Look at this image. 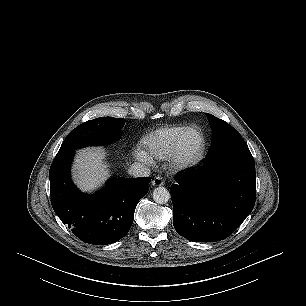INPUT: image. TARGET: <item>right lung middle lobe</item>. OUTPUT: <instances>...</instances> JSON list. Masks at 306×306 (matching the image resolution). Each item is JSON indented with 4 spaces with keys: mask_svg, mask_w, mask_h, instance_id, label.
I'll return each mask as SVG.
<instances>
[{
    "mask_svg": "<svg viewBox=\"0 0 306 306\" xmlns=\"http://www.w3.org/2000/svg\"><path fill=\"white\" fill-rule=\"evenodd\" d=\"M124 124L125 119L113 117H99L87 121L69 133L55 158H60L80 147L111 143L120 136Z\"/></svg>",
    "mask_w": 306,
    "mask_h": 306,
    "instance_id": "obj_1",
    "label": "right lung middle lobe"
}]
</instances>
